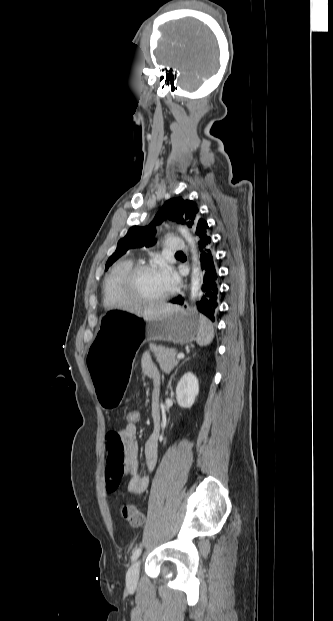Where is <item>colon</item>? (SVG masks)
Returning <instances> with one entry per match:
<instances>
[{"instance_id":"1","label":"colon","mask_w":333,"mask_h":621,"mask_svg":"<svg viewBox=\"0 0 333 621\" xmlns=\"http://www.w3.org/2000/svg\"><path fill=\"white\" fill-rule=\"evenodd\" d=\"M128 424L137 425L141 420V413L138 409L129 407L125 413ZM123 516L129 525L138 527L143 523V514L133 505H125L122 509Z\"/></svg>"}]
</instances>
